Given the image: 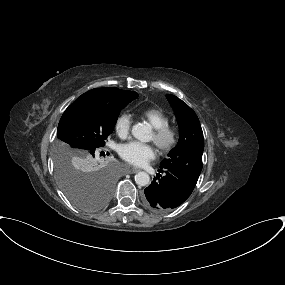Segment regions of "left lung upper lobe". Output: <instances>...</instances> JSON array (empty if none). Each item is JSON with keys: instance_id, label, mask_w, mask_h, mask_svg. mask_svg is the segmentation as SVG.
<instances>
[{"instance_id": "obj_1", "label": "left lung upper lobe", "mask_w": 285, "mask_h": 285, "mask_svg": "<svg viewBox=\"0 0 285 285\" xmlns=\"http://www.w3.org/2000/svg\"><path fill=\"white\" fill-rule=\"evenodd\" d=\"M179 125V142L164 159L160 168H169L186 174L197 181L202 170L204 138L195 112L182 100L167 94Z\"/></svg>"}]
</instances>
